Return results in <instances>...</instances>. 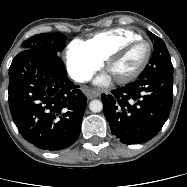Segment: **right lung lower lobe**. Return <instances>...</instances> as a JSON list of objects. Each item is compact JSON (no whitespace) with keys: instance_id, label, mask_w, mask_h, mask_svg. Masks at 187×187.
<instances>
[{"instance_id":"obj_1","label":"right lung lower lobe","mask_w":187,"mask_h":187,"mask_svg":"<svg viewBox=\"0 0 187 187\" xmlns=\"http://www.w3.org/2000/svg\"><path fill=\"white\" fill-rule=\"evenodd\" d=\"M8 101L20 134L36 147L57 151L79 137L87 98L68 79L59 55L18 53L9 68Z\"/></svg>"}]
</instances>
